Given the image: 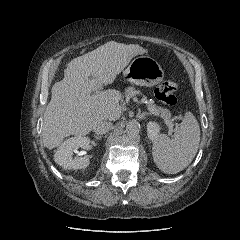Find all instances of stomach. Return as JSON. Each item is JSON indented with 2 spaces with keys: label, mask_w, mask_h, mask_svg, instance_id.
<instances>
[{
  "label": "stomach",
  "mask_w": 240,
  "mask_h": 240,
  "mask_svg": "<svg viewBox=\"0 0 240 240\" xmlns=\"http://www.w3.org/2000/svg\"><path fill=\"white\" fill-rule=\"evenodd\" d=\"M123 76L136 85L153 87L164 79V70L152 57L139 56L123 71Z\"/></svg>",
  "instance_id": "1"
}]
</instances>
